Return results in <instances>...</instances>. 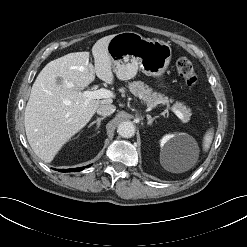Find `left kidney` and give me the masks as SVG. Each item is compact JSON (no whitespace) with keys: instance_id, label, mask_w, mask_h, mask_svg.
<instances>
[{"instance_id":"left-kidney-1","label":"left kidney","mask_w":247,"mask_h":247,"mask_svg":"<svg viewBox=\"0 0 247 247\" xmlns=\"http://www.w3.org/2000/svg\"><path fill=\"white\" fill-rule=\"evenodd\" d=\"M191 141L189 135L181 133L178 135H166L160 141L161 151L170 161L172 169H179L178 163L184 162V152L188 148V143Z\"/></svg>"}]
</instances>
